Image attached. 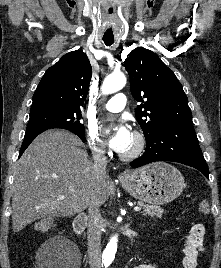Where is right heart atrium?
I'll return each mask as SVG.
<instances>
[{"label":"right heart atrium","instance_id":"obj_1","mask_svg":"<svg viewBox=\"0 0 221 268\" xmlns=\"http://www.w3.org/2000/svg\"><path fill=\"white\" fill-rule=\"evenodd\" d=\"M86 138L93 155L97 157H105L108 154V150L94 126H88L86 130Z\"/></svg>","mask_w":221,"mask_h":268}]
</instances>
